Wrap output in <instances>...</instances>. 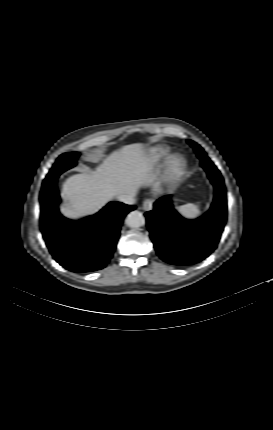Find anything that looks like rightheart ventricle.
<instances>
[{
    "label": "right heart ventricle",
    "instance_id": "e07e8e85",
    "mask_svg": "<svg viewBox=\"0 0 273 430\" xmlns=\"http://www.w3.org/2000/svg\"><path fill=\"white\" fill-rule=\"evenodd\" d=\"M168 152H169V149L167 147H163V146L153 147L150 152L149 162L151 164L158 163L167 155Z\"/></svg>",
    "mask_w": 273,
    "mask_h": 430
}]
</instances>
